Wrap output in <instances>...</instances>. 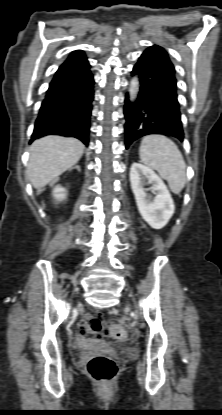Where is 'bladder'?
<instances>
[{"label": "bladder", "instance_id": "1", "mask_svg": "<svg viewBox=\"0 0 222 415\" xmlns=\"http://www.w3.org/2000/svg\"><path fill=\"white\" fill-rule=\"evenodd\" d=\"M116 353L133 354V348L129 343H120L110 346Z\"/></svg>", "mask_w": 222, "mask_h": 415}]
</instances>
